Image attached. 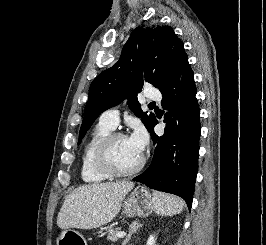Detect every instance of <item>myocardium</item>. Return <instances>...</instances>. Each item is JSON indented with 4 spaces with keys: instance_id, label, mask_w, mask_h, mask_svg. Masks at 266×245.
I'll return each instance as SVG.
<instances>
[{
    "instance_id": "f54148a6",
    "label": "myocardium",
    "mask_w": 266,
    "mask_h": 245,
    "mask_svg": "<svg viewBox=\"0 0 266 245\" xmlns=\"http://www.w3.org/2000/svg\"><path fill=\"white\" fill-rule=\"evenodd\" d=\"M118 137H126L124 133L118 131H111L100 142L94 153V162L98 171L111 179L128 178L136 175L144 165V158L140 156L136 166L128 172H118L114 169L111 162V148L112 144Z\"/></svg>"
}]
</instances>
